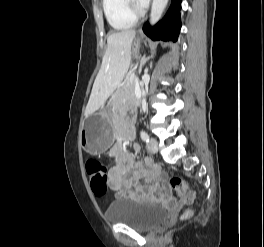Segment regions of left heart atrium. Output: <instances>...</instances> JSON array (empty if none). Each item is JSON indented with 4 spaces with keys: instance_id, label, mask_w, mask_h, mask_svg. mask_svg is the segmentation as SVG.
<instances>
[{
    "instance_id": "39dd6f15",
    "label": "left heart atrium",
    "mask_w": 264,
    "mask_h": 247,
    "mask_svg": "<svg viewBox=\"0 0 264 247\" xmlns=\"http://www.w3.org/2000/svg\"><path fill=\"white\" fill-rule=\"evenodd\" d=\"M149 0H137V3L140 5V6H146L148 4Z\"/></svg>"
}]
</instances>
